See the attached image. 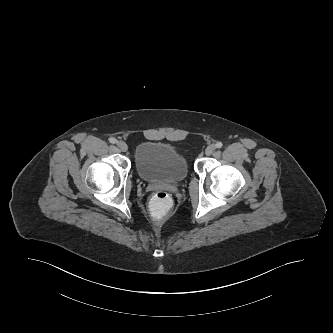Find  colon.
<instances>
[{
    "mask_svg": "<svg viewBox=\"0 0 333 333\" xmlns=\"http://www.w3.org/2000/svg\"><path fill=\"white\" fill-rule=\"evenodd\" d=\"M175 208V199L165 191H157L148 205V214L156 226H165L170 221V212Z\"/></svg>",
    "mask_w": 333,
    "mask_h": 333,
    "instance_id": "obj_1",
    "label": "colon"
}]
</instances>
